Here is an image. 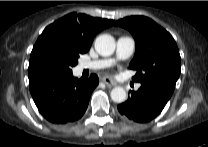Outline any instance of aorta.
<instances>
[{"mask_svg":"<svg viewBox=\"0 0 208 147\" xmlns=\"http://www.w3.org/2000/svg\"><path fill=\"white\" fill-rule=\"evenodd\" d=\"M116 47L115 39L109 34L99 35L95 40V50L101 56H110ZM111 99L116 103H122L127 99L126 91L122 87H115L110 93Z\"/></svg>","mask_w":208,"mask_h":147,"instance_id":"aorta-1","label":"aorta"}]
</instances>
